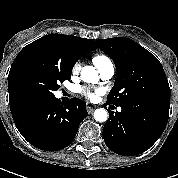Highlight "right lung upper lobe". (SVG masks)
I'll list each match as a JSON object with an SVG mask.
<instances>
[{
  "mask_svg": "<svg viewBox=\"0 0 178 178\" xmlns=\"http://www.w3.org/2000/svg\"><path fill=\"white\" fill-rule=\"evenodd\" d=\"M96 48L97 45L92 39L64 34H49L25 46L19 54L32 50L48 51L74 66L81 57Z\"/></svg>",
  "mask_w": 178,
  "mask_h": 178,
  "instance_id": "obj_1",
  "label": "right lung upper lobe"
}]
</instances>
